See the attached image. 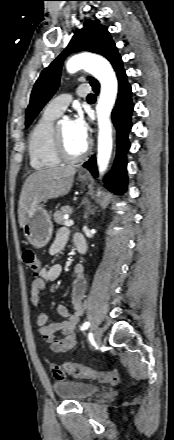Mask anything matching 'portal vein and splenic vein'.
Instances as JSON below:
<instances>
[{
  "label": "portal vein and splenic vein",
  "instance_id": "18ae733b",
  "mask_svg": "<svg viewBox=\"0 0 174 440\" xmlns=\"http://www.w3.org/2000/svg\"><path fill=\"white\" fill-rule=\"evenodd\" d=\"M74 224L73 220H66L64 225L65 226H72Z\"/></svg>",
  "mask_w": 174,
  "mask_h": 440
}]
</instances>
